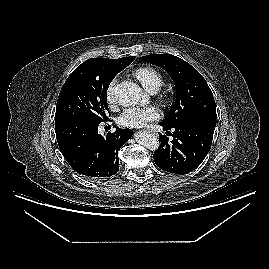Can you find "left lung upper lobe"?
<instances>
[{
	"label": "left lung upper lobe",
	"mask_w": 269,
	"mask_h": 269,
	"mask_svg": "<svg viewBox=\"0 0 269 269\" xmlns=\"http://www.w3.org/2000/svg\"><path fill=\"white\" fill-rule=\"evenodd\" d=\"M140 60L166 70L175 84L174 106L161 125L174 128L201 119L216 120L213 94L206 80L193 66L171 54H152L142 56Z\"/></svg>",
	"instance_id": "1"
}]
</instances>
